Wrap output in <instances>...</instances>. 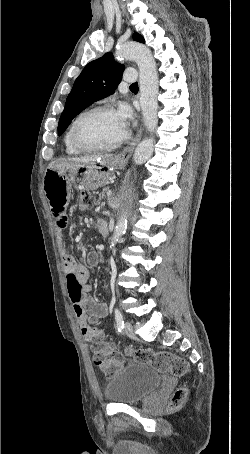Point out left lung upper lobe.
Listing matches in <instances>:
<instances>
[{
  "instance_id": "5c2ea615",
  "label": "left lung upper lobe",
  "mask_w": 250,
  "mask_h": 454,
  "mask_svg": "<svg viewBox=\"0 0 250 454\" xmlns=\"http://www.w3.org/2000/svg\"><path fill=\"white\" fill-rule=\"evenodd\" d=\"M135 41L144 43V38L133 34ZM124 66L117 63L112 53H106L101 58L88 63L68 95L65 108L58 124V135H61L72 119L90 104L112 94L120 83Z\"/></svg>"
}]
</instances>
